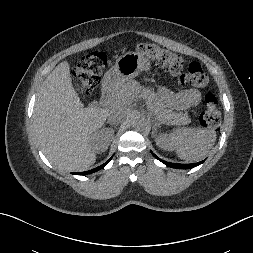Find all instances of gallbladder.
I'll list each match as a JSON object with an SVG mask.
<instances>
[{
	"instance_id": "gallbladder-1",
	"label": "gallbladder",
	"mask_w": 253,
	"mask_h": 253,
	"mask_svg": "<svg viewBox=\"0 0 253 253\" xmlns=\"http://www.w3.org/2000/svg\"><path fill=\"white\" fill-rule=\"evenodd\" d=\"M95 104H97V102H93V103H92V105H95Z\"/></svg>"
}]
</instances>
